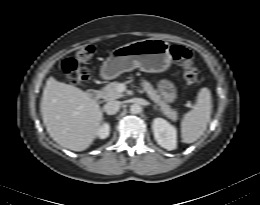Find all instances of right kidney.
<instances>
[{"instance_id": "obj_1", "label": "right kidney", "mask_w": 260, "mask_h": 205, "mask_svg": "<svg viewBox=\"0 0 260 205\" xmlns=\"http://www.w3.org/2000/svg\"><path fill=\"white\" fill-rule=\"evenodd\" d=\"M109 134H110V125L108 123H104L103 125L100 126L97 135L100 139H105L109 136Z\"/></svg>"}]
</instances>
